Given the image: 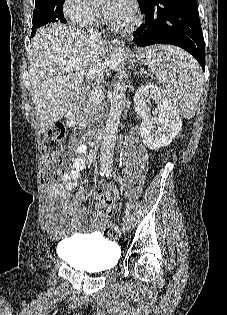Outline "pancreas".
I'll list each match as a JSON object with an SVG mask.
<instances>
[{
	"label": "pancreas",
	"instance_id": "1",
	"mask_svg": "<svg viewBox=\"0 0 227 315\" xmlns=\"http://www.w3.org/2000/svg\"><path fill=\"white\" fill-rule=\"evenodd\" d=\"M91 91L87 93L82 107L78 110L76 114V120L78 124L82 127H89L92 122L97 120V114L101 109L103 94H101L100 97L96 98L93 94H91Z\"/></svg>",
	"mask_w": 227,
	"mask_h": 315
}]
</instances>
